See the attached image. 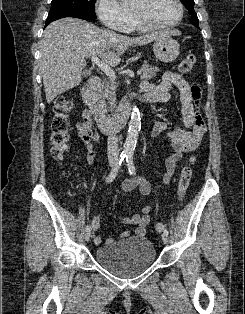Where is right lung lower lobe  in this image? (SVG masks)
Masks as SVG:
<instances>
[{
  "mask_svg": "<svg viewBox=\"0 0 245 314\" xmlns=\"http://www.w3.org/2000/svg\"><path fill=\"white\" fill-rule=\"evenodd\" d=\"M64 17H74V18H81V19H86V20H94L96 19V17L93 16H89V15H85V14H81V13H61V14H54V15H48L47 19H46V24L45 27L60 18H64Z\"/></svg>",
  "mask_w": 245,
  "mask_h": 314,
  "instance_id": "obj_1",
  "label": "right lung lower lobe"
}]
</instances>
